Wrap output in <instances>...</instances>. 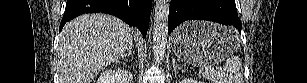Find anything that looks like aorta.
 <instances>
[{"label":"aorta","mask_w":307,"mask_h":83,"mask_svg":"<svg viewBox=\"0 0 307 83\" xmlns=\"http://www.w3.org/2000/svg\"><path fill=\"white\" fill-rule=\"evenodd\" d=\"M169 7V0L156 1L153 25V54L159 64L163 61L166 51Z\"/></svg>","instance_id":"obj_1"}]
</instances>
